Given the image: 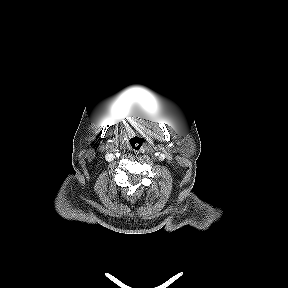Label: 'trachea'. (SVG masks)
Instances as JSON below:
<instances>
[{
	"instance_id": "3493384b",
	"label": "trachea",
	"mask_w": 288,
	"mask_h": 288,
	"mask_svg": "<svg viewBox=\"0 0 288 288\" xmlns=\"http://www.w3.org/2000/svg\"><path fill=\"white\" fill-rule=\"evenodd\" d=\"M129 142H130L131 148L136 152L140 151L144 145L143 138H139V137H132Z\"/></svg>"
}]
</instances>
